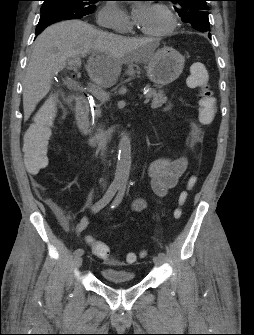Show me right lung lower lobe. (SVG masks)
Listing matches in <instances>:
<instances>
[{
    "label": "right lung lower lobe",
    "instance_id": "98d812e1",
    "mask_svg": "<svg viewBox=\"0 0 254 335\" xmlns=\"http://www.w3.org/2000/svg\"><path fill=\"white\" fill-rule=\"evenodd\" d=\"M80 18L82 17L64 10H51L41 13L39 23L36 27V35H39L47 26L55 22Z\"/></svg>",
    "mask_w": 254,
    "mask_h": 335
}]
</instances>
